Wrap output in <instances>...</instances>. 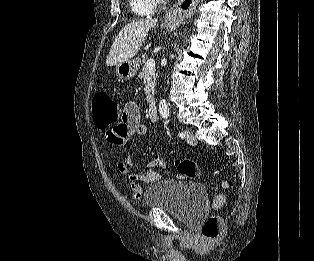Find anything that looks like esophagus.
<instances>
[{"label": "esophagus", "instance_id": "esophagus-1", "mask_svg": "<svg viewBox=\"0 0 314 261\" xmlns=\"http://www.w3.org/2000/svg\"><path fill=\"white\" fill-rule=\"evenodd\" d=\"M194 9H195V5H194V2H193V5L190 7L189 10H190V11H193ZM177 13H178V14H181V10H179V9L172 10V11L168 12L166 15H167V16H170V15H171V16H174V15L176 16Z\"/></svg>", "mask_w": 314, "mask_h": 261}]
</instances>
